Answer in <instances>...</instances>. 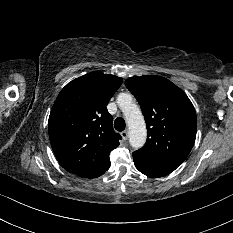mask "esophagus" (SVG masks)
I'll use <instances>...</instances> for the list:
<instances>
[{"mask_svg": "<svg viewBox=\"0 0 233 233\" xmlns=\"http://www.w3.org/2000/svg\"><path fill=\"white\" fill-rule=\"evenodd\" d=\"M121 136H122L123 140H127L128 139V130H124L123 132H121Z\"/></svg>", "mask_w": 233, "mask_h": 233, "instance_id": "34e87169", "label": "esophagus"}]
</instances>
